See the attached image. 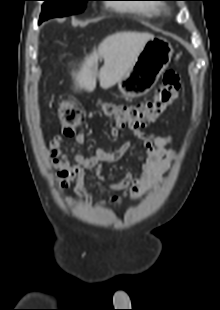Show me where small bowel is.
<instances>
[{
  "instance_id": "c3829d8e",
  "label": "small bowel",
  "mask_w": 220,
  "mask_h": 310,
  "mask_svg": "<svg viewBox=\"0 0 220 310\" xmlns=\"http://www.w3.org/2000/svg\"><path fill=\"white\" fill-rule=\"evenodd\" d=\"M109 133L116 138L119 135V130L112 127ZM134 135L143 141L146 150L145 157H138L143 163L142 172L135 177L131 173H127L120 181L107 184L109 188L123 192L122 196L115 195L111 197L108 201L111 204H118L122 197H129L132 201L139 200L146 192L162 182L163 174L171 167L176 157L175 151L167 148V145L171 142L170 136L146 135L139 130L134 131ZM74 139L77 144L82 145L86 142L87 136L84 132H79ZM129 148L130 143L125 142L113 151L97 149L88 156L70 149L74 153L73 161H70L63 148V137L57 135L47 146V155L50 164L59 168L58 180L62 189L68 188L71 182L75 180L76 194L83 198H91L83 185L86 172L94 170L97 178L104 181L101 174L102 163L119 160ZM65 201L70 205L73 199L66 197Z\"/></svg>"
}]
</instances>
